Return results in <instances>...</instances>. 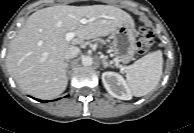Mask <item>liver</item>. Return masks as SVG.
<instances>
[{
    "label": "liver",
    "mask_w": 194,
    "mask_h": 133,
    "mask_svg": "<svg viewBox=\"0 0 194 133\" xmlns=\"http://www.w3.org/2000/svg\"><path fill=\"white\" fill-rule=\"evenodd\" d=\"M83 18L93 21L82 25ZM124 23L134 24L125 11L110 5H57L31 14L11 40L6 66L26 93L39 99H52L67 87L65 52L85 40L104 37ZM76 32L67 41L66 33Z\"/></svg>",
    "instance_id": "6515ba94"
}]
</instances>
